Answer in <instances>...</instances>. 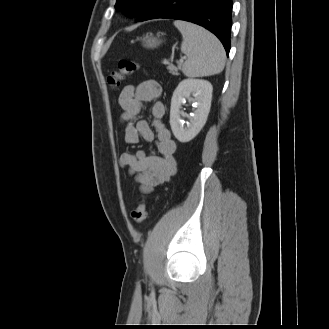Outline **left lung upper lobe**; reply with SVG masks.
<instances>
[{
  "mask_svg": "<svg viewBox=\"0 0 329 329\" xmlns=\"http://www.w3.org/2000/svg\"><path fill=\"white\" fill-rule=\"evenodd\" d=\"M155 0H117L115 7L137 6L138 10L135 15L140 14L143 10L149 7Z\"/></svg>",
  "mask_w": 329,
  "mask_h": 329,
  "instance_id": "1",
  "label": "left lung upper lobe"
}]
</instances>
